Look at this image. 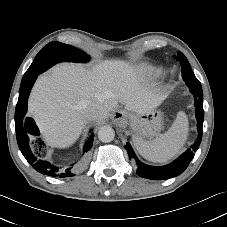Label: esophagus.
I'll return each mask as SVG.
<instances>
[{"mask_svg": "<svg viewBox=\"0 0 227 227\" xmlns=\"http://www.w3.org/2000/svg\"><path fill=\"white\" fill-rule=\"evenodd\" d=\"M124 115H125V113L123 111L117 110L113 114V119L114 120H120V119H122L124 117Z\"/></svg>", "mask_w": 227, "mask_h": 227, "instance_id": "esophagus-1", "label": "esophagus"}]
</instances>
